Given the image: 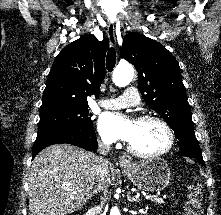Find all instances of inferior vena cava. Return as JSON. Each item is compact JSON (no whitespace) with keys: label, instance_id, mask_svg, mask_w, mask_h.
<instances>
[{"label":"inferior vena cava","instance_id":"obj_1","mask_svg":"<svg viewBox=\"0 0 221 215\" xmlns=\"http://www.w3.org/2000/svg\"><path fill=\"white\" fill-rule=\"evenodd\" d=\"M111 147L108 144H104L102 142H99L98 144V152L100 154L99 157V166L97 169V175H96V182H97V188L99 190H102L104 195L106 196L108 193L107 186H108V179H107V160L104 159L102 156H105L110 152Z\"/></svg>","mask_w":221,"mask_h":215}]
</instances>
